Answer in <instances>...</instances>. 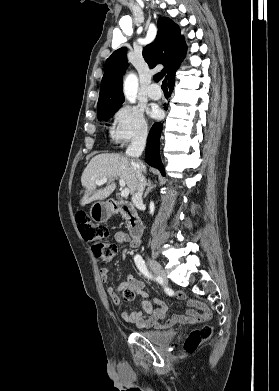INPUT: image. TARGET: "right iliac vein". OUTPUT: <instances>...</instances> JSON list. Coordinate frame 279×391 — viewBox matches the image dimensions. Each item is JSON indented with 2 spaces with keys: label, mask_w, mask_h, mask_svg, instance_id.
Returning a JSON list of instances; mask_svg holds the SVG:
<instances>
[{
  "label": "right iliac vein",
  "mask_w": 279,
  "mask_h": 391,
  "mask_svg": "<svg viewBox=\"0 0 279 391\" xmlns=\"http://www.w3.org/2000/svg\"><path fill=\"white\" fill-rule=\"evenodd\" d=\"M148 263H149V266L151 267L152 271L157 275L159 276L160 278L163 279V281L165 282V284L168 283L167 279H166V274H165V271L164 269L162 268L161 264L156 261L155 259H152L150 258L148 260Z\"/></svg>",
  "instance_id": "right-iliac-vein-1"
}]
</instances>
